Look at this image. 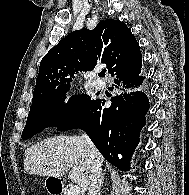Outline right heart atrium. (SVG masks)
Returning a JSON list of instances; mask_svg holds the SVG:
<instances>
[{
  "instance_id": "d8ad5b80",
  "label": "right heart atrium",
  "mask_w": 189,
  "mask_h": 195,
  "mask_svg": "<svg viewBox=\"0 0 189 195\" xmlns=\"http://www.w3.org/2000/svg\"><path fill=\"white\" fill-rule=\"evenodd\" d=\"M73 99L74 95L72 92H68L61 100L60 102V111L63 114H67L71 111L72 106H73Z\"/></svg>"
}]
</instances>
